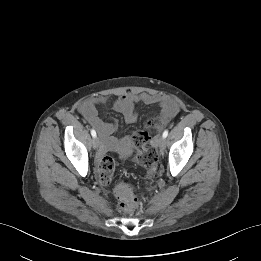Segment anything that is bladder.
<instances>
[{"mask_svg":"<svg viewBox=\"0 0 261 261\" xmlns=\"http://www.w3.org/2000/svg\"><path fill=\"white\" fill-rule=\"evenodd\" d=\"M122 151V149H121ZM131 153V149L128 148L127 150H125V153L123 154L124 157L128 156Z\"/></svg>","mask_w":261,"mask_h":261,"instance_id":"bladder-1","label":"bladder"}]
</instances>
